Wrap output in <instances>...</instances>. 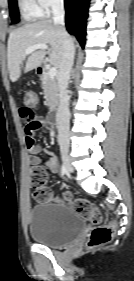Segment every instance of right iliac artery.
<instances>
[{
    "label": "right iliac artery",
    "mask_w": 134,
    "mask_h": 281,
    "mask_svg": "<svg viewBox=\"0 0 134 281\" xmlns=\"http://www.w3.org/2000/svg\"><path fill=\"white\" fill-rule=\"evenodd\" d=\"M66 173H67L66 167H65V165L63 163L62 166H61V175L64 176Z\"/></svg>",
    "instance_id": "obj_1"
}]
</instances>
